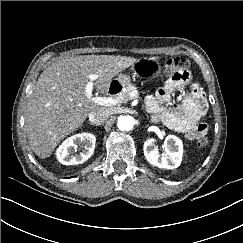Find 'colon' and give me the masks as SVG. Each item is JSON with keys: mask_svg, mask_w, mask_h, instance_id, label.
Here are the masks:
<instances>
[{"mask_svg": "<svg viewBox=\"0 0 243 243\" xmlns=\"http://www.w3.org/2000/svg\"><path fill=\"white\" fill-rule=\"evenodd\" d=\"M165 72L170 77H184L189 74V62L185 58L179 56L172 57L168 59L165 64ZM208 143L209 140L205 135L197 139V144L199 146H206Z\"/></svg>", "mask_w": 243, "mask_h": 243, "instance_id": "colon-1", "label": "colon"}]
</instances>
